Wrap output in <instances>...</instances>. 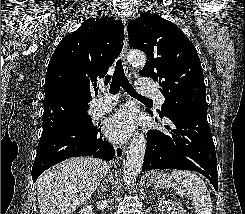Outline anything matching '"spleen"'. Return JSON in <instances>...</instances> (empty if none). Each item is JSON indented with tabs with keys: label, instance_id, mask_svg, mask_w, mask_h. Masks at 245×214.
Masks as SVG:
<instances>
[{
	"label": "spleen",
	"instance_id": "1",
	"mask_svg": "<svg viewBox=\"0 0 245 214\" xmlns=\"http://www.w3.org/2000/svg\"><path fill=\"white\" fill-rule=\"evenodd\" d=\"M175 191L180 196L187 195L194 206L196 214H212L210 193L204 181L195 173L185 170H174Z\"/></svg>",
	"mask_w": 245,
	"mask_h": 214
}]
</instances>
